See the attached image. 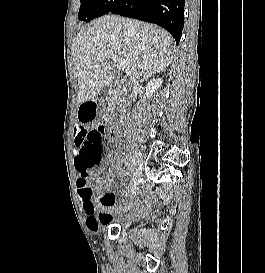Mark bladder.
I'll list each match as a JSON object with an SVG mask.
<instances>
[{
	"label": "bladder",
	"mask_w": 265,
	"mask_h": 273,
	"mask_svg": "<svg viewBox=\"0 0 265 273\" xmlns=\"http://www.w3.org/2000/svg\"><path fill=\"white\" fill-rule=\"evenodd\" d=\"M133 222H134V217H127L124 220V224H126V225H131V224H133Z\"/></svg>",
	"instance_id": "1"
}]
</instances>
